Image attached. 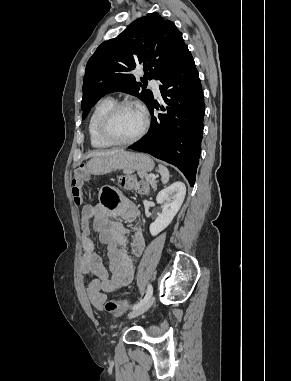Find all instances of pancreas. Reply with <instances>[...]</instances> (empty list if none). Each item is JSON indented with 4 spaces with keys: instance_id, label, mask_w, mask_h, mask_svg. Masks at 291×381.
<instances>
[{
    "instance_id": "cf45deb5",
    "label": "pancreas",
    "mask_w": 291,
    "mask_h": 381,
    "mask_svg": "<svg viewBox=\"0 0 291 381\" xmlns=\"http://www.w3.org/2000/svg\"><path fill=\"white\" fill-rule=\"evenodd\" d=\"M124 173L129 174L130 171L125 170ZM138 175H139V177H140L141 179H145L146 182H147L148 184H150L152 187H154V186L156 185L155 178H151V177H149V175H148L147 173L138 171Z\"/></svg>"
}]
</instances>
